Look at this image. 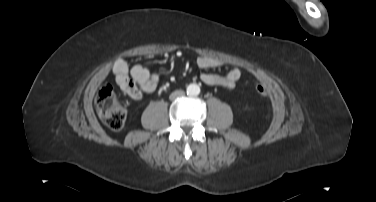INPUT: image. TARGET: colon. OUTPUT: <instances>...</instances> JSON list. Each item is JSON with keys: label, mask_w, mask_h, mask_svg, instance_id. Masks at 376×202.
Returning <instances> with one entry per match:
<instances>
[{"label": "colon", "mask_w": 376, "mask_h": 202, "mask_svg": "<svg viewBox=\"0 0 376 202\" xmlns=\"http://www.w3.org/2000/svg\"><path fill=\"white\" fill-rule=\"evenodd\" d=\"M260 95L266 94V87L256 86ZM95 108L100 120L112 130H120L127 118V109L118 99L111 86H103L95 99Z\"/></svg>", "instance_id": "colon-1"}]
</instances>
